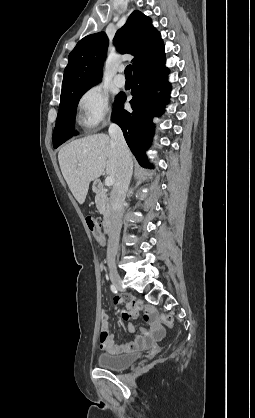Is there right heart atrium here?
<instances>
[{
    "mask_svg": "<svg viewBox=\"0 0 255 418\" xmlns=\"http://www.w3.org/2000/svg\"><path fill=\"white\" fill-rule=\"evenodd\" d=\"M78 123L86 129H94L110 115L107 93L98 85L88 88L79 98Z\"/></svg>",
    "mask_w": 255,
    "mask_h": 418,
    "instance_id": "obj_1",
    "label": "right heart atrium"
}]
</instances>
